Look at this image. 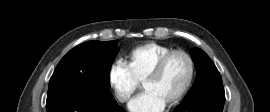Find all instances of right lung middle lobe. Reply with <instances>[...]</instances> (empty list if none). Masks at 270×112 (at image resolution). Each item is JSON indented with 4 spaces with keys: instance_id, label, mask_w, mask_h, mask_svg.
<instances>
[{
    "instance_id": "dd1d6c3e",
    "label": "right lung middle lobe",
    "mask_w": 270,
    "mask_h": 112,
    "mask_svg": "<svg viewBox=\"0 0 270 112\" xmlns=\"http://www.w3.org/2000/svg\"><path fill=\"white\" fill-rule=\"evenodd\" d=\"M118 51L117 41H89L74 47L57 65L47 100L75 89L100 101H112L110 68Z\"/></svg>"
}]
</instances>
